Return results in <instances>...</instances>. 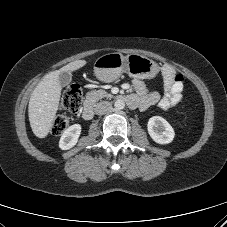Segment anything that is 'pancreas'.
Wrapping results in <instances>:
<instances>
[{"instance_id": "cf45deb5", "label": "pancreas", "mask_w": 227, "mask_h": 227, "mask_svg": "<svg viewBox=\"0 0 227 227\" xmlns=\"http://www.w3.org/2000/svg\"><path fill=\"white\" fill-rule=\"evenodd\" d=\"M104 97L111 98L112 95L107 93L105 90H92L86 94V99L94 103Z\"/></svg>"}]
</instances>
